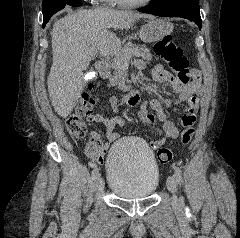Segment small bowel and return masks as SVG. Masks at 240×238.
Listing matches in <instances>:
<instances>
[{
    "instance_id": "small-bowel-1",
    "label": "small bowel",
    "mask_w": 240,
    "mask_h": 238,
    "mask_svg": "<svg viewBox=\"0 0 240 238\" xmlns=\"http://www.w3.org/2000/svg\"><path fill=\"white\" fill-rule=\"evenodd\" d=\"M136 66L139 69L144 68L142 61H137ZM152 78L155 84L168 83L179 94L176 99H152L144 101L139 106L138 115L141 121L147 128L158 135V138L150 143L153 149L160 147L168 138H175L178 136V128L173 122L168 120L164 111V107H178L181 103L186 102L184 107L185 114L182 117L181 124L186 127L195 123L197 118V110L199 106V96L202 93L201 76L199 71L193 70L192 80L188 83L180 82L175 76L167 71L162 65L155 66L152 71ZM109 104L112 110L117 113L119 111V102L115 97L109 98ZM153 111V113L150 111ZM88 121L101 123L106 128V139H103L99 134L93 133L92 137L98 138L103 146L101 153L98 154L97 160L99 166H104V159L108 154L110 143L119 139L117 129L124 125V121L120 116L107 117L101 113L89 114ZM156 120L162 123V127H158Z\"/></svg>"
}]
</instances>
